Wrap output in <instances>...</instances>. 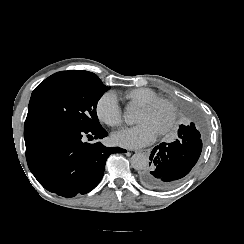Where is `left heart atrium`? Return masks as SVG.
<instances>
[{"label":"left heart atrium","instance_id":"1","mask_svg":"<svg viewBox=\"0 0 244 244\" xmlns=\"http://www.w3.org/2000/svg\"><path fill=\"white\" fill-rule=\"evenodd\" d=\"M157 138V132L147 124L115 133L112 140L116 145L134 149L146 146L154 142Z\"/></svg>","mask_w":244,"mask_h":244}]
</instances>
